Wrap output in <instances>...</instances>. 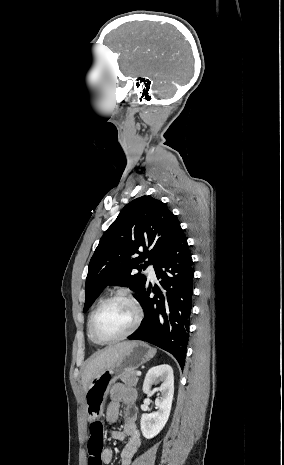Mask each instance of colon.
Returning a JSON list of instances; mask_svg holds the SVG:
<instances>
[{"label":"colon","instance_id":"5ec220e1","mask_svg":"<svg viewBox=\"0 0 284 465\" xmlns=\"http://www.w3.org/2000/svg\"><path fill=\"white\" fill-rule=\"evenodd\" d=\"M107 432L106 425H103L101 421H92L90 424V429L87 431L89 444L87 446L89 456L87 458L88 465H102L101 461V449L105 446L104 439Z\"/></svg>","mask_w":284,"mask_h":465}]
</instances>
